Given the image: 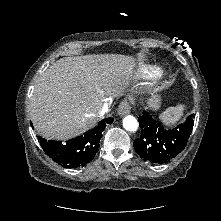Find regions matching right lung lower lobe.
<instances>
[{"label":"right lung lower lobe","instance_id":"1","mask_svg":"<svg viewBox=\"0 0 221 221\" xmlns=\"http://www.w3.org/2000/svg\"><path fill=\"white\" fill-rule=\"evenodd\" d=\"M113 120V118H106L83 136H78L65 144L60 141H47L40 136H38V140L44 152L64 168L83 167L95 157L101 134L106 125L112 123Z\"/></svg>","mask_w":221,"mask_h":221}]
</instances>
